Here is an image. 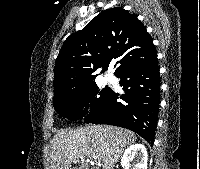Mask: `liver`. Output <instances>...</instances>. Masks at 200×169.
Returning a JSON list of instances; mask_svg holds the SVG:
<instances>
[{
    "mask_svg": "<svg viewBox=\"0 0 200 169\" xmlns=\"http://www.w3.org/2000/svg\"><path fill=\"white\" fill-rule=\"evenodd\" d=\"M136 139L129 130L107 125L59 131L51 143V169H89L88 160L102 162L103 169H113ZM77 162L79 167H72Z\"/></svg>",
    "mask_w": 200,
    "mask_h": 169,
    "instance_id": "liver-1",
    "label": "liver"
}]
</instances>
